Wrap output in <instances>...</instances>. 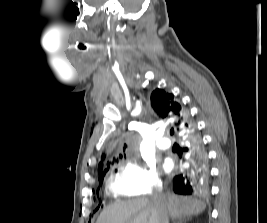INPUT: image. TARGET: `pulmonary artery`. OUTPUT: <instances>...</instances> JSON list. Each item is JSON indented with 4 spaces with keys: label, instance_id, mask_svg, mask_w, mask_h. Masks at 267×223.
Wrapping results in <instances>:
<instances>
[{
    "label": "pulmonary artery",
    "instance_id": "obj_1",
    "mask_svg": "<svg viewBox=\"0 0 267 223\" xmlns=\"http://www.w3.org/2000/svg\"><path fill=\"white\" fill-rule=\"evenodd\" d=\"M156 144H157V147L162 150L168 149L171 146L170 140L162 135H159L157 137Z\"/></svg>",
    "mask_w": 267,
    "mask_h": 223
}]
</instances>
